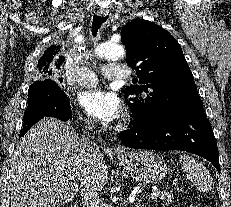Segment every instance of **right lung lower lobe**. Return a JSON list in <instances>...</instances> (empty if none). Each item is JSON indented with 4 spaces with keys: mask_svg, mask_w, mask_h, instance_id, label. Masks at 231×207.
<instances>
[{
    "mask_svg": "<svg viewBox=\"0 0 231 207\" xmlns=\"http://www.w3.org/2000/svg\"><path fill=\"white\" fill-rule=\"evenodd\" d=\"M71 112L65 93L52 80H45L35 87V96L28 102L19 138L44 116L67 121L72 119Z\"/></svg>",
    "mask_w": 231,
    "mask_h": 207,
    "instance_id": "1",
    "label": "right lung lower lobe"
}]
</instances>
